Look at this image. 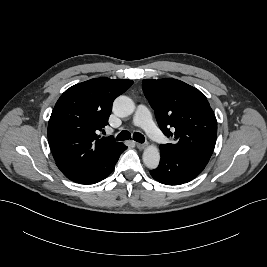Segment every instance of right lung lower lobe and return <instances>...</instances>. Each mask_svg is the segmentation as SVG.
I'll return each mask as SVG.
<instances>
[{"instance_id": "obj_1", "label": "right lung lower lobe", "mask_w": 267, "mask_h": 267, "mask_svg": "<svg viewBox=\"0 0 267 267\" xmlns=\"http://www.w3.org/2000/svg\"><path fill=\"white\" fill-rule=\"evenodd\" d=\"M127 148L124 144L110 154L88 162H56L61 172L70 180L80 184H94L106 178L115 168L121 153Z\"/></svg>"}]
</instances>
